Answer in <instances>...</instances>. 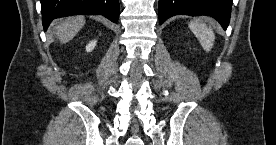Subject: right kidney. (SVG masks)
<instances>
[{
	"mask_svg": "<svg viewBox=\"0 0 276 145\" xmlns=\"http://www.w3.org/2000/svg\"><path fill=\"white\" fill-rule=\"evenodd\" d=\"M96 46V41H91L90 43H88V45L86 46V51L90 52L92 51Z\"/></svg>",
	"mask_w": 276,
	"mask_h": 145,
	"instance_id": "ca27d5eb",
	"label": "right kidney"
}]
</instances>
